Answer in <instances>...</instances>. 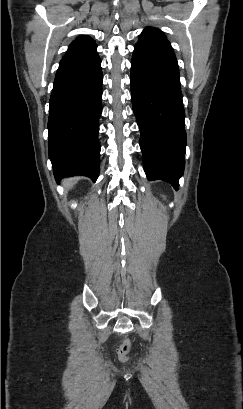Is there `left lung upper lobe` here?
<instances>
[{
	"label": "left lung upper lobe",
	"instance_id": "1",
	"mask_svg": "<svg viewBox=\"0 0 243 409\" xmlns=\"http://www.w3.org/2000/svg\"><path fill=\"white\" fill-rule=\"evenodd\" d=\"M162 40H166V38L161 30L148 27L140 34L137 44H151Z\"/></svg>",
	"mask_w": 243,
	"mask_h": 409
}]
</instances>
